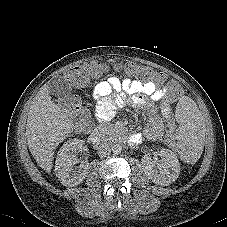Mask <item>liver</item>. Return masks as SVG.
Masks as SVG:
<instances>
[{"mask_svg": "<svg viewBox=\"0 0 227 227\" xmlns=\"http://www.w3.org/2000/svg\"><path fill=\"white\" fill-rule=\"evenodd\" d=\"M72 130L68 114L52 101L48 85L42 86L28 111L26 136L31 154L47 173L52 170L54 150Z\"/></svg>", "mask_w": 227, "mask_h": 227, "instance_id": "liver-1", "label": "liver"}]
</instances>
